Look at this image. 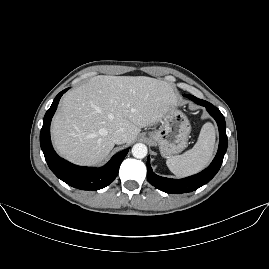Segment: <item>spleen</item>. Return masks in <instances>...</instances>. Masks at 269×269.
Listing matches in <instances>:
<instances>
[{
  "label": "spleen",
  "mask_w": 269,
  "mask_h": 269,
  "mask_svg": "<svg viewBox=\"0 0 269 269\" xmlns=\"http://www.w3.org/2000/svg\"><path fill=\"white\" fill-rule=\"evenodd\" d=\"M215 128L205 123L193 148L187 153L167 159V166L178 177L192 174L207 165L214 151Z\"/></svg>",
  "instance_id": "spleen-1"
}]
</instances>
